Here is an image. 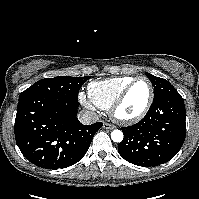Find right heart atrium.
I'll return each instance as SVG.
<instances>
[{
	"instance_id": "right-heart-atrium-1",
	"label": "right heart atrium",
	"mask_w": 199,
	"mask_h": 199,
	"mask_svg": "<svg viewBox=\"0 0 199 199\" xmlns=\"http://www.w3.org/2000/svg\"><path fill=\"white\" fill-rule=\"evenodd\" d=\"M79 100L86 108L95 110L94 104L90 101V99L86 97V95L83 92L79 94Z\"/></svg>"
}]
</instances>
